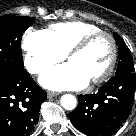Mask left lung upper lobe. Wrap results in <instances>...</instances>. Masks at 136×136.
I'll list each match as a JSON object with an SVG mask.
<instances>
[{
    "mask_svg": "<svg viewBox=\"0 0 136 136\" xmlns=\"http://www.w3.org/2000/svg\"><path fill=\"white\" fill-rule=\"evenodd\" d=\"M114 38L118 44L120 59L115 75L135 72L133 59L129 48L117 33H114Z\"/></svg>",
    "mask_w": 136,
    "mask_h": 136,
    "instance_id": "obj_1",
    "label": "left lung upper lobe"
}]
</instances>
